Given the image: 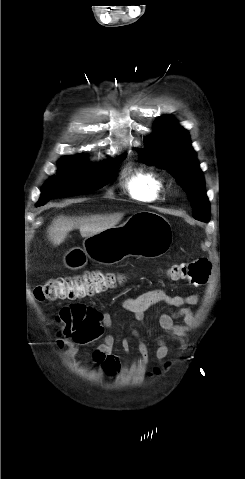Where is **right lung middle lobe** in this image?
Here are the masks:
<instances>
[{
	"label": "right lung middle lobe",
	"mask_w": 245,
	"mask_h": 479,
	"mask_svg": "<svg viewBox=\"0 0 245 479\" xmlns=\"http://www.w3.org/2000/svg\"><path fill=\"white\" fill-rule=\"evenodd\" d=\"M108 162L99 166L88 165L83 156L64 157L60 162L59 173L42 187L37 206L55 198L91 193L111 182L117 173L119 162Z\"/></svg>",
	"instance_id": "obj_1"
}]
</instances>
